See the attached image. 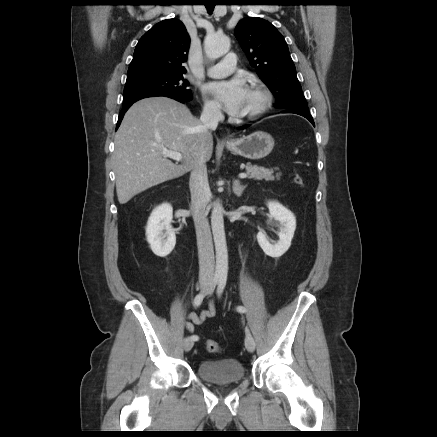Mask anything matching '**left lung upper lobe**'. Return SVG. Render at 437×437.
<instances>
[{
    "label": "left lung upper lobe",
    "instance_id": "obj_1",
    "mask_svg": "<svg viewBox=\"0 0 437 437\" xmlns=\"http://www.w3.org/2000/svg\"><path fill=\"white\" fill-rule=\"evenodd\" d=\"M235 36L250 65L276 97V107L309 112L282 34L269 21L248 17L239 21Z\"/></svg>",
    "mask_w": 437,
    "mask_h": 437
}]
</instances>
